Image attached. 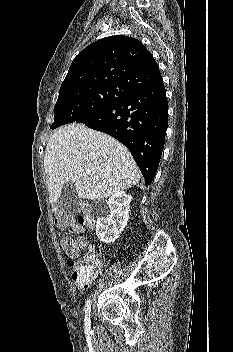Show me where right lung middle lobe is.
I'll use <instances>...</instances> for the list:
<instances>
[{
	"label": "right lung middle lobe",
	"instance_id": "right-lung-middle-lobe-1",
	"mask_svg": "<svg viewBox=\"0 0 233 352\" xmlns=\"http://www.w3.org/2000/svg\"><path fill=\"white\" fill-rule=\"evenodd\" d=\"M132 90L120 85H102L78 88L59 95L54 106L51 129L80 122L128 97Z\"/></svg>",
	"mask_w": 233,
	"mask_h": 352
}]
</instances>
